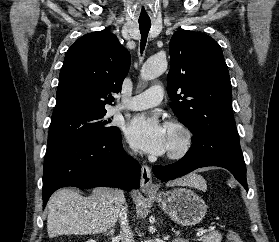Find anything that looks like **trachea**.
Listing matches in <instances>:
<instances>
[{
	"mask_svg": "<svg viewBox=\"0 0 279 242\" xmlns=\"http://www.w3.org/2000/svg\"><path fill=\"white\" fill-rule=\"evenodd\" d=\"M151 27V22L147 20L140 21L139 20V28L141 33V44H140V52L143 53L147 42V36Z\"/></svg>",
	"mask_w": 279,
	"mask_h": 242,
	"instance_id": "1",
	"label": "trachea"
}]
</instances>
